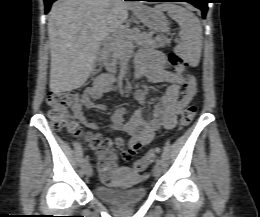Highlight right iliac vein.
I'll return each instance as SVG.
<instances>
[{
  "label": "right iliac vein",
  "mask_w": 260,
  "mask_h": 217,
  "mask_svg": "<svg viewBox=\"0 0 260 217\" xmlns=\"http://www.w3.org/2000/svg\"><path fill=\"white\" fill-rule=\"evenodd\" d=\"M85 174H86L88 177H90V176L92 175V167H91L90 164H87V165L85 166Z\"/></svg>",
  "instance_id": "63e3f726"
}]
</instances>
